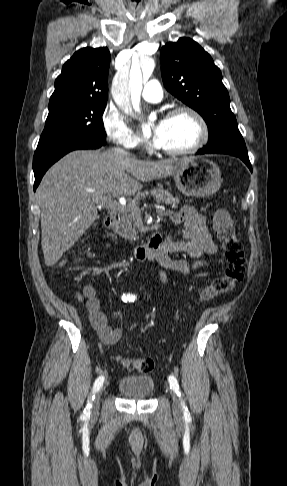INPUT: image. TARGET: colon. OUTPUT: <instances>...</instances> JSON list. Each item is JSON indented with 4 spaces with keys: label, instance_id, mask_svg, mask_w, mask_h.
<instances>
[{
    "label": "colon",
    "instance_id": "colon-1",
    "mask_svg": "<svg viewBox=\"0 0 287 486\" xmlns=\"http://www.w3.org/2000/svg\"><path fill=\"white\" fill-rule=\"evenodd\" d=\"M213 227L222 242L226 266L223 272L203 289L201 298L205 301L232 289L242 279L246 262L243 245L236 236L233 221L227 211L219 209L215 213ZM120 362L125 368L140 373L151 372L154 368V361L150 358H121Z\"/></svg>",
    "mask_w": 287,
    "mask_h": 486
}]
</instances>
